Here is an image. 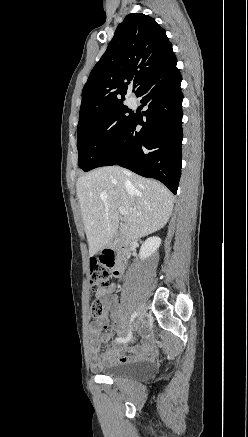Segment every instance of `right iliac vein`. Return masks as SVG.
<instances>
[{"label": "right iliac vein", "mask_w": 248, "mask_h": 437, "mask_svg": "<svg viewBox=\"0 0 248 437\" xmlns=\"http://www.w3.org/2000/svg\"><path fill=\"white\" fill-rule=\"evenodd\" d=\"M146 313V308L145 306L142 304L139 309H138V321L142 320L145 316Z\"/></svg>", "instance_id": "obj_1"}]
</instances>
